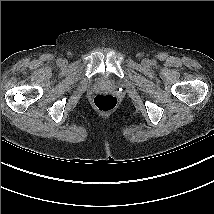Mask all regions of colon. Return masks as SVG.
Listing matches in <instances>:
<instances>
[{
    "label": "colon",
    "instance_id": "colon-1",
    "mask_svg": "<svg viewBox=\"0 0 214 214\" xmlns=\"http://www.w3.org/2000/svg\"><path fill=\"white\" fill-rule=\"evenodd\" d=\"M94 106L101 112H110L117 106V99L112 94H98L93 100Z\"/></svg>",
    "mask_w": 214,
    "mask_h": 214
}]
</instances>
